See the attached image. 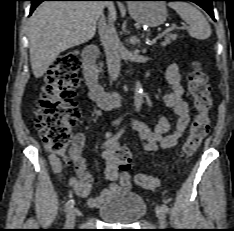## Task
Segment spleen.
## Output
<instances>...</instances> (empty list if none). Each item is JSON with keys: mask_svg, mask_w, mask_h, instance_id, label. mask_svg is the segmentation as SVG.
<instances>
[{"mask_svg": "<svg viewBox=\"0 0 234 231\" xmlns=\"http://www.w3.org/2000/svg\"><path fill=\"white\" fill-rule=\"evenodd\" d=\"M168 6L189 25L188 33L191 37L204 40L210 37L211 27L204 15L187 2H169Z\"/></svg>", "mask_w": 234, "mask_h": 231, "instance_id": "spleen-1", "label": "spleen"}]
</instances>
